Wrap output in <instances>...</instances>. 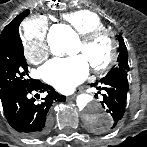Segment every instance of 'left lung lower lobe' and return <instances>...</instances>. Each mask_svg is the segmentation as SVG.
Wrapping results in <instances>:
<instances>
[{"label":"left lung lower lobe","instance_id":"left-lung-lower-lobe-1","mask_svg":"<svg viewBox=\"0 0 147 147\" xmlns=\"http://www.w3.org/2000/svg\"><path fill=\"white\" fill-rule=\"evenodd\" d=\"M102 84L101 86H98ZM92 87L104 90L103 101L101 102L106 112L111 115V121L106 125H96L100 131H110L114 129L122 119L125 112V105L128 92L127 72H120L116 75L102 78L99 83H92ZM100 93V92H98Z\"/></svg>","mask_w":147,"mask_h":147}]
</instances>
